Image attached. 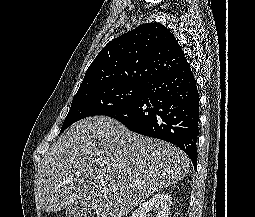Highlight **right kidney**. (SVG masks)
<instances>
[{
  "label": "right kidney",
  "instance_id": "obj_1",
  "mask_svg": "<svg viewBox=\"0 0 255 217\" xmlns=\"http://www.w3.org/2000/svg\"><path fill=\"white\" fill-rule=\"evenodd\" d=\"M172 205V197L164 192L155 194L151 199L142 203L131 217H149L148 212L153 210L156 217H168Z\"/></svg>",
  "mask_w": 255,
  "mask_h": 217
}]
</instances>
